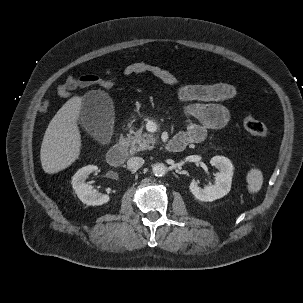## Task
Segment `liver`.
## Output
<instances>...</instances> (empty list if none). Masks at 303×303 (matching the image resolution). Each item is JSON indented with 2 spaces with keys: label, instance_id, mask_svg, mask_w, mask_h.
Segmentation results:
<instances>
[{
  "label": "liver",
  "instance_id": "obj_1",
  "mask_svg": "<svg viewBox=\"0 0 303 303\" xmlns=\"http://www.w3.org/2000/svg\"><path fill=\"white\" fill-rule=\"evenodd\" d=\"M82 98L69 99L50 121L42 141L40 160L43 170L54 174L71 166L80 155L82 141L77 124Z\"/></svg>",
  "mask_w": 303,
  "mask_h": 303
}]
</instances>
